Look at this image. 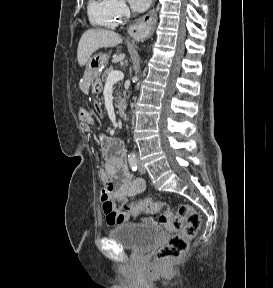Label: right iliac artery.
I'll use <instances>...</instances> for the list:
<instances>
[{"mask_svg": "<svg viewBox=\"0 0 273 288\" xmlns=\"http://www.w3.org/2000/svg\"><path fill=\"white\" fill-rule=\"evenodd\" d=\"M128 161H129V165H130L131 169L133 171H136L137 170V159H136V156L134 154H130L128 156Z\"/></svg>", "mask_w": 273, "mask_h": 288, "instance_id": "82829eb1", "label": "right iliac artery"}]
</instances>
